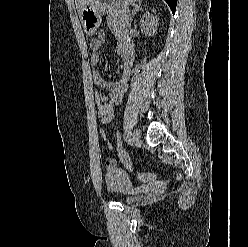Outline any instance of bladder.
<instances>
[{"instance_id":"bladder-1","label":"bladder","mask_w":248,"mask_h":247,"mask_svg":"<svg viewBox=\"0 0 248 247\" xmlns=\"http://www.w3.org/2000/svg\"><path fill=\"white\" fill-rule=\"evenodd\" d=\"M105 182L109 191L120 196L125 203H130L141 193V190L132 183L127 172L122 169L109 170L105 175Z\"/></svg>"}]
</instances>
